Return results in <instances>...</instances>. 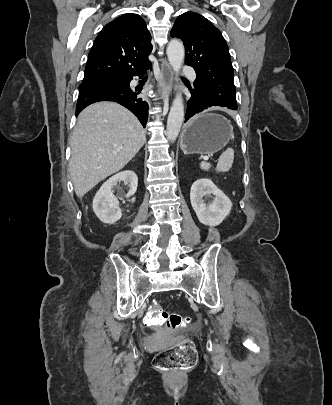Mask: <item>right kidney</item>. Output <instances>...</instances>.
Segmentation results:
<instances>
[{"instance_id":"right-kidney-1","label":"right kidney","mask_w":332,"mask_h":405,"mask_svg":"<svg viewBox=\"0 0 332 405\" xmlns=\"http://www.w3.org/2000/svg\"><path fill=\"white\" fill-rule=\"evenodd\" d=\"M121 181L129 187L126 198L133 196L137 190L138 177L130 170L120 172L109 178L94 196L93 211L103 223L113 224L122 217L119 200L111 191V188Z\"/></svg>"}]
</instances>
